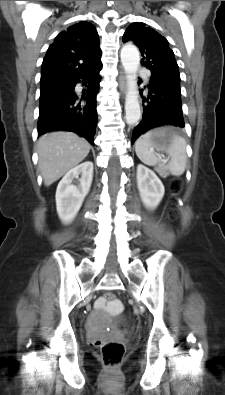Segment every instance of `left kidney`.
<instances>
[{
	"instance_id": "obj_1",
	"label": "left kidney",
	"mask_w": 225,
	"mask_h": 395,
	"mask_svg": "<svg viewBox=\"0 0 225 395\" xmlns=\"http://www.w3.org/2000/svg\"><path fill=\"white\" fill-rule=\"evenodd\" d=\"M137 185L144 205L155 209L164 196V186L158 176L146 166H137Z\"/></svg>"
}]
</instances>
